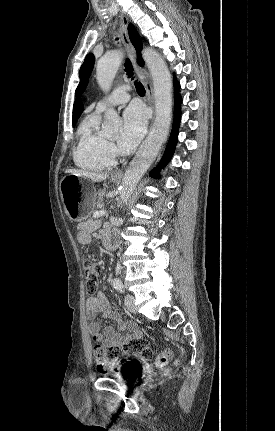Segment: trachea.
<instances>
[{
    "label": "trachea",
    "instance_id": "obj_1",
    "mask_svg": "<svg viewBox=\"0 0 275 431\" xmlns=\"http://www.w3.org/2000/svg\"><path fill=\"white\" fill-rule=\"evenodd\" d=\"M125 71H126L128 77L133 80L134 79L133 67H132V64L128 58L126 59V62H125ZM135 87H136L137 93L140 96L145 95V88L143 87V85L140 82L135 81Z\"/></svg>",
    "mask_w": 275,
    "mask_h": 431
}]
</instances>
